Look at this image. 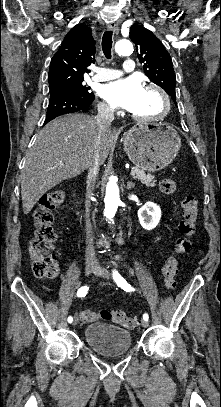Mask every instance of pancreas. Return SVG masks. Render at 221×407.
Here are the masks:
<instances>
[{
  "label": "pancreas",
  "instance_id": "1",
  "mask_svg": "<svg viewBox=\"0 0 221 407\" xmlns=\"http://www.w3.org/2000/svg\"><path fill=\"white\" fill-rule=\"evenodd\" d=\"M132 171L135 172V175H133V177L140 180L146 186H148V187L155 186V180L151 174H149V173L146 174L143 170H141L138 167H133Z\"/></svg>",
  "mask_w": 221,
  "mask_h": 407
}]
</instances>
